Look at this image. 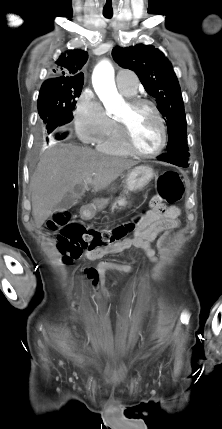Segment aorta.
I'll return each instance as SVG.
<instances>
[{
	"label": "aorta",
	"mask_w": 222,
	"mask_h": 429,
	"mask_svg": "<svg viewBox=\"0 0 222 429\" xmlns=\"http://www.w3.org/2000/svg\"><path fill=\"white\" fill-rule=\"evenodd\" d=\"M92 83L108 113L115 112L122 105L123 99L119 95L114 81V68L108 60H102L96 66Z\"/></svg>",
	"instance_id": "1"
}]
</instances>
